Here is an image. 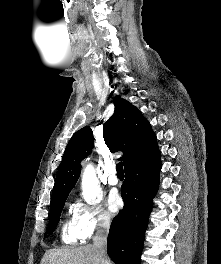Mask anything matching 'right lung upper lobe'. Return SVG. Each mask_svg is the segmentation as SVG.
I'll return each mask as SVG.
<instances>
[{
	"mask_svg": "<svg viewBox=\"0 0 221 264\" xmlns=\"http://www.w3.org/2000/svg\"><path fill=\"white\" fill-rule=\"evenodd\" d=\"M114 105V114L103 126L104 141L110 151L123 152L120 160L125 169L156 156L159 153L157 139L142 113L123 98L116 99ZM92 148L93 132L90 127H84L72 136L58 168L52 199L69 194L80 176V162Z\"/></svg>",
	"mask_w": 221,
	"mask_h": 264,
	"instance_id": "obj_1",
	"label": "right lung upper lobe"
}]
</instances>
